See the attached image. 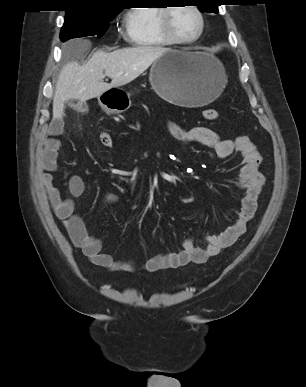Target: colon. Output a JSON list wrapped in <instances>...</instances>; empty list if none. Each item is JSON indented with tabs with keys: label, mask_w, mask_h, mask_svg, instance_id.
I'll list each match as a JSON object with an SVG mask.
<instances>
[{
	"label": "colon",
	"mask_w": 306,
	"mask_h": 387,
	"mask_svg": "<svg viewBox=\"0 0 306 387\" xmlns=\"http://www.w3.org/2000/svg\"><path fill=\"white\" fill-rule=\"evenodd\" d=\"M203 116L208 121H215L219 117V113L215 109H206L203 111ZM99 141L103 146L110 147L113 143L109 132L101 131L99 134Z\"/></svg>",
	"instance_id": "colon-1"
}]
</instances>
